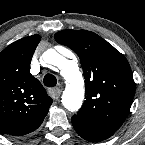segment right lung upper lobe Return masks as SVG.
Returning <instances> with one entry per match:
<instances>
[{"instance_id": "obj_1", "label": "right lung upper lobe", "mask_w": 145, "mask_h": 145, "mask_svg": "<svg viewBox=\"0 0 145 145\" xmlns=\"http://www.w3.org/2000/svg\"><path fill=\"white\" fill-rule=\"evenodd\" d=\"M40 41L35 34L0 53V133L20 136L43 122L53 102L39 80L30 74V62Z\"/></svg>"}]
</instances>
